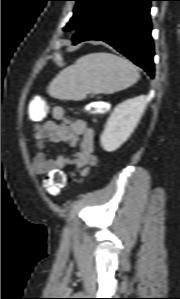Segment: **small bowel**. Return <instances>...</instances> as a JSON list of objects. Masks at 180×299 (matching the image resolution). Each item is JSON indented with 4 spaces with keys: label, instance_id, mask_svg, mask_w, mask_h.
<instances>
[{
    "label": "small bowel",
    "instance_id": "1",
    "mask_svg": "<svg viewBox=\"0 0 180 299\" xmlns=\"http://www.w3.org/2000/svg\"><path fill=\"white\" fill-rule=\"evenodd\" d=\"M52 116L51 119L44 121L31 116L37 146V153L32 163L34 172L45 175L60 171L70 164L73 166L71 176L86 175L98 163L94 152L93 129L83 119L69 118L60 106L54 108ZM60 143H67L77 149L71 155L59 154L50 157L47 153L48 145Z\"/></svg>",
    "mask_w": 180,
    "mask_h": 299
}]
</instances>
